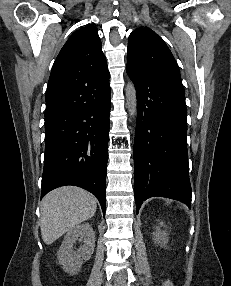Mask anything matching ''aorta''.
Wrapping results in <instances>:
<instances>
[{
  "label": "aorta",
  "mask_w": 231,
  "mask_h": 286,
  "mask_svg": "<svg viewBox=\"0 0 231 286\" xmlns=\"http://www.w3.org/2000/svg\"><path fill=\"white\" fill-rule=\"evenodd\" d=\"M126 95V107L132 119L136 118L137 115V98H136V89L134 84L129 81L125 88Z\"/></svg>",
  "instance_id": "obj_1"
}]
</instances>
